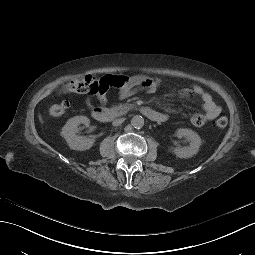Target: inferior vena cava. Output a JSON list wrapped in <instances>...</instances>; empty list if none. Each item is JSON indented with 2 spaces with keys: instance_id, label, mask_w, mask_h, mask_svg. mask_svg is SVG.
<instances>
[{
  "instance_id": "inferior-vena-cava-1",
  "label": "inferior vena cava",
  "mask_w": 255,
  "mask_h": 255,
  "mask_svg": "<svg viewBox=\"0 0 255 255\" xmlns=\"http://www.w3.org/2000/svg\"><path fill=\"white\" fill-rule=\"evenodd\" d=\"M125 121V118L116 119L113 121V126H119Z\"/></svg>"
}]
</instances>
